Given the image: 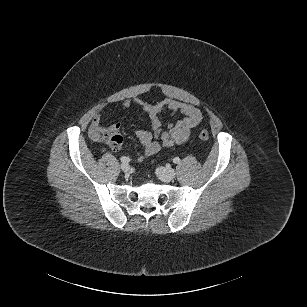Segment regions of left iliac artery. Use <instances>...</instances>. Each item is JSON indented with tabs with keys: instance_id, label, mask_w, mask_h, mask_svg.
Wrapping results in <instances>:
<instances>
[{
	"instance_id": "obj_1",
	"label": "left iliac artery",
	"mask_w": 307,
	"mask_h": 307,
	"mask_svg": "<svg viewBox=\"0 0 307 307\" xmlns=\"http://www.w3.org/2000/svg\"><path fill=\"white\" fill-rule=\"evenodd\" d=\"M173 162H174L175 164H178V163L180 162V158H179V157H175V158L173 159Z\"/></svg>"
}]
</instances>
